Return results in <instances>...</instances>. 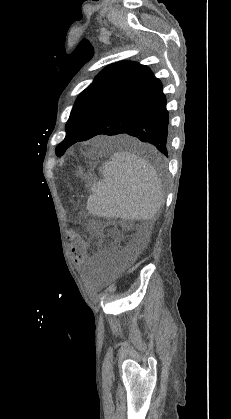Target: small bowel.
I'll return each mask as SVG.
<instances>
[{
  "mask_svg": "<svg viewBox=\"0 0 231 419\" xmlns=\"http://www.w3.org/2000/svg\"><path fill=\"white\" fill-rule=\"evenodd\" d=\"M70 241L75 258L78 261L83 260L87 255L86 242L78 234H73Z\"/></svg>",
  "mask_w": 231,
  "mask_h": 419,
  "instance_id": "1",
  "label": "small bowel"
}]
</instances>
